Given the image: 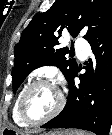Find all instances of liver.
Returning <instances> with one entry per match:
<instances>
[{
    "mask_svg": "<svg viewBox=\"0 0 112 135\" xmlns=\"http://www.w3.org/2000/svg\"><path fill=\"white\" fill-rule=\"evenodd\" d=\"M20 134H22V135H28V134H24V133H20Z\"/></svg>",
    "mask_w": 112,
    "mask_h": 135,
    "instance_id": "1",
    "label": "liver"
}]
</instances>
